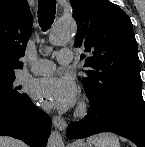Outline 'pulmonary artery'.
Returning a JSON list of instances; mask_svg holds the SVG:
<instances>
[{
  "label": "pulmonary artery",
  "mask_w": 145,
  "mask_h": 147,
  "mask_svg": "<svg viewBox=\"0 0 145 147\" xmlns=\"http://www.w3.org/2000/svg\"><path fill=\"white\" fill-rule=\"evenodd\" d=\"M73 59V52L70 50H62L57 54V61L62 65L69 64ZM56 65L50 60L40 59L33 63L29 71L37 75H47L54 72Z\"/></svg>",
  "instance_id": "e3ab8cb5"
}]
</instances>
